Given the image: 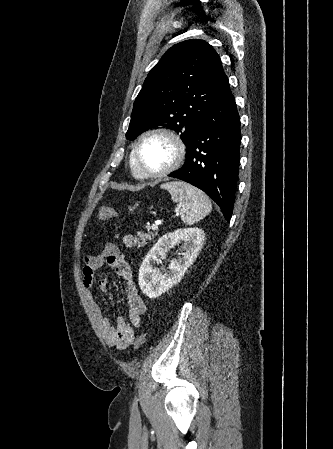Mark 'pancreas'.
Instances as JSON below:
<instances>
[{"label": "pancreas", "instance_id": "1", "mask_svg": "<svg viewBox=\"0 0 333 449\" xmlns=\"http://www.w3.org/2000/svg\"><path fill=\"white\" fill-rule=\"evenodd\" d=\"M154 236L153 233L148 232V233H144L142 231L137 232V234L135 236L133 235H127L123 237V243L125 244L126 247H143L147 244V242L149 240L152 239V237Z\"/></svg>", "mask_w": 333, "mask_h": 449}]
</instances>
